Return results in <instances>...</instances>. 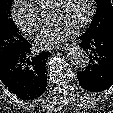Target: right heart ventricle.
Instances as JSON below:
<instances>
[{"label":"right heart ventricle","instance_id":"obj_1","mask_svg":"<svg viewBox=\"0 0 113 113\" xmlns=\"http://www.w3.org/2000/svg\"><path fill=\"white\" fill-rule=\"evenodd\" d=\"M52 0H29L28 2L39 12H44Z\"/></svg>","mask_w":113,"mask_h":113}]
</instances>
